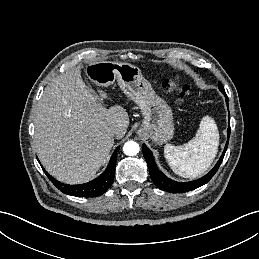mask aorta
<instances>
[{
	"label": "aorta",
	"mask_w": 259,
	"mask_h": 259,
	"mask_svg": "<svg viewBox=\"0 0 259 259\" xmlns=\"http://www.w3.org/2000/svg\"><path fill=\"white\" fill-rule=\"evenodd\" d=\"M123 152L128 156H134L139 152V145L134 141H128L123 146Z\"/></svg>",
	"instance_id": "obj_1"
}]
</instances>
